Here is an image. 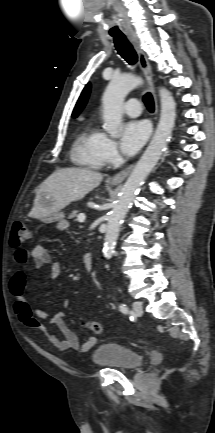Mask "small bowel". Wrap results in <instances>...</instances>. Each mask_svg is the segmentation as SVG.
<instances>
[{
  "instance_id": "small-bowel-1",
  "label": "small bowel",
  "mask_w": 215,
  "mask_h": 433,
  "mask_svg": "<svg viewBox=\"0 0 215 433\" xmlns=\"http://www.w3.org/2000/svg\"><path fill=\"white\" fill-rule=\"evenodd\" d=\"M29 256L34 259L37 267L49 265V274L52 279H57L62 273L61 265L51 261V257L43 245H35L30 254L23 248H18L14 251V259L19 267L10 278L9 291L15 299L14 310L19 320L29 328L42 331L51 345L59 351L74 349L79 352H87L96 344L97 339L95 337H90L84 343L80 344L76 334L64 321L63 312L48 313L35 308L27 300L25 295L27 284L26 264ZM40 320H47L49 324L55 326L62 334V338L49 332Z\"/></svg>"
}]
</instances>
